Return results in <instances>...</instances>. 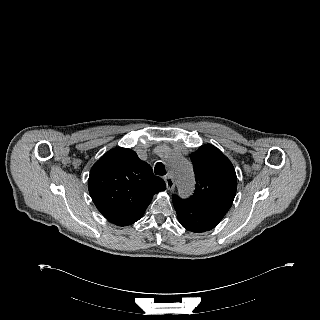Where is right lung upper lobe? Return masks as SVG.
<instances>
[{
    "label": "right lung upper lobe",
    "mask_w": 320,
    "mask_h": 320,
    "mask_svg": "<svg viewBox=\"0 0 320 320\" xmlns=\"http://www.w3.org/2000/svg\"><path fill=\"white\" fill-rule=\"evenodd\" d=\"M165 188L148 163L122 147L106 152L91 168L88 180L97 209L116 225L141 218L153 195Z\"/></svg>",
    "instance_id": "1"
}]
</instances>
